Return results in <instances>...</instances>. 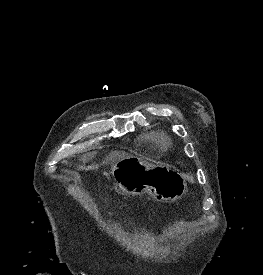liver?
I'll return each mask as SVG.
<instances>
[{"mask_svg": "<svg viewBox=\"0 0 263 275\" xmlns=\"http://www.w3.org/2000/svg\"><path fill=\"white\" fill-rule=\"evenodd\" d=\"M128 156H130V155L125 152H113V153H111L109 158L117 162V161H119L125 157H128ZM95 168H98V166L91 165V166L86 167L84 165V166L80 167L81 170H92Z\"/></svg>", "mask_w": 263, "mask_h": 275, "instance_id": "obj_1", "label": "liver"}]
</instances>
